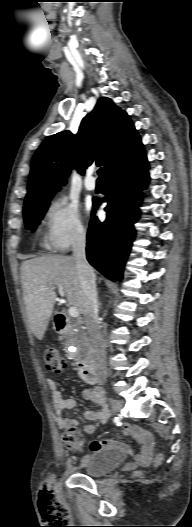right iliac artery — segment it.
Listing matches in <instances>:
<instances>
[{
  "instance_id": "obj_1",
  "label": "right iliac artery",
  "mask_w": 192,
  "mask_h": 527,
  "mask_svg": "<svg viewBox=\"0 0 192 527\" xmlns=\"http://www.w3.org/2000/svg\"><path fill=\"white\" fill-rule=\"evenodd\" d=\"M121 419H122V418L117 419V418H114V417H113V424H115V427H116L117 429H120V428L122 427Z\"/></svg>"
}]
</instances>
